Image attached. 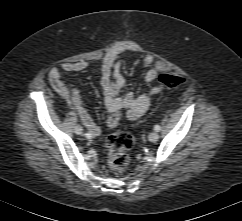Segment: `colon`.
<instances>
[{"label": "colon", "instance_id": "1", "mask_svg": "<svg viewBox=\"0 0 242 221\" xmlns=\"http://www.w3.org/2000/svg\"><path fill=\"white\" fill-rule=\"evenodd\" d=\"M159 81L165 87L174 89L185 84L186 79L181 75L163 73L159 76ZM52 84L56 90H59L62 87L60 81L57 79L53 80ZM121 116L122 115L119 111L114 112L108 118V126L110 128H115L118 125ZM134 143L135 139L133 135L125 131L117 130L108 136L106 140L108 148L107 162L112 171L121 173L127 168L130 162L128 150L134 146Z\"/></svg>", "mask_w": 242, "mask_h": 221}]
</instances>
